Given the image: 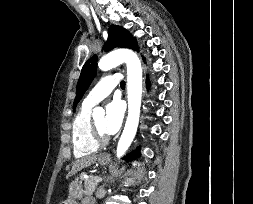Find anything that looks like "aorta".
Segmentation results:
<instances>
[{
    "label": "aorta",
    "instance_id": "762f6f07",
    "mask_svg": "<svg viewBox=\"0 0 253 204\" xmlns=\"http://www.w3.org/2000/svg\"><path fill=\"white\" fill-rule=\"evenodd\" d=\"M125 62L127 65V93H128V117L117 145L116 155L122 157L130 144L132 143L140 116L141 97H142V68L141 62L131 50L119 49L102 57L98 63V67L107 71ZM104 116L102 108H95L93 117Z\"/></svg>",
    "mask_w": 253,
    "mask_h": 204
}]
</instances>
